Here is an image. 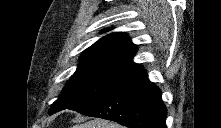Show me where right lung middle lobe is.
I'll return each mask as SVG.
<instances>
[{
    "label": "right lung middle lobe",
    "mask_w": 221,
    "mask_h": 128,
    "mask_svg": "<svg viewBox=\"0 0 221 128\" xmlns=\"http://www.w3.org/2000/svg\"><path fill=\"white\" fill-rule=\"evenodd\" d=\"M127 77L97 70H76L65 85L59 98L52 104L49 114L72 109L104 95Z\"/></svg>",
    "instance_id": "1"
}]
</instances>
